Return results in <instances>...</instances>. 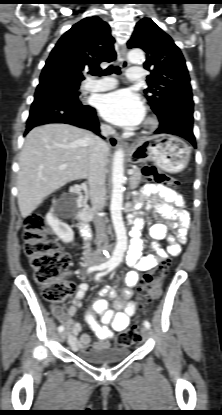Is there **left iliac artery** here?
Instances as JSON below:
<instances>
[{
    "instance_id": "obj_1",
    "label": "left iliac artery",
    "mask_w": 222,
    "mask_h": 415,
    "mask_svg": "<svg viewBox=\"0 0 222 415\" xmlns=\"http://www.w3.org/2000/svg\"><path fill=\"white\" fill-rule=\"evenodd\" d=\"M113 268H114V266L109 265V266L107 267V270H106V271H104V272H102V273H99V274L96 276V279L98 280L101 276L106 275V274H107L108 272H110ZM144 326H145V327H147V328H150V323H149V321L145 320V321H144Z\"/></svg>"
}]
</instances>
